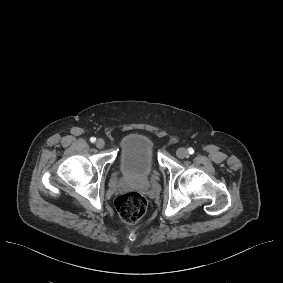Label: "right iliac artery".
Here are the masks:
<instances>
[{
    "instance_id": "obj_1",
    "label": "right iliac artery",
    "mask_w": 283,
    "mask_h": 283,
    "mask_svg": "<svg viewBox=\"0 0 283 283\" xmlns=\"http://www.w3.org/2000/svg\"><path fill=\"white\" fill-rule=\"evenodd\" d=\"M90 141H91L92 143H94V142L96 141V138H95V137H91V138H90Z\"/></svg>"
}]
</instances>
